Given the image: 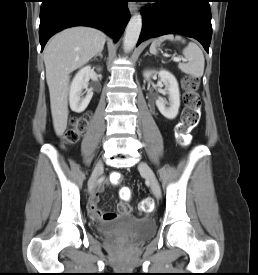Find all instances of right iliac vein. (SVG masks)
<instances>
[{
  "label": "right iliac vein",
  "instance_id": "63e3f726",
  "mask_svg": "<svg viewBox=\"0 0 258 275\" xmlns=\"http://www.w3.org/2000/svg\"><path fill=\"white\" fill-rule=\"evenodd\" d=\"M102 171H103V162L101 160H99L95 165V168L93 170V173H92L91 178L88 183V189H89L90 193L94 190L97 180H98L100 174L102 173Z\"/></svg>",
  "mask_w": 258,
  "mask_h": 275
}]
</instances>
